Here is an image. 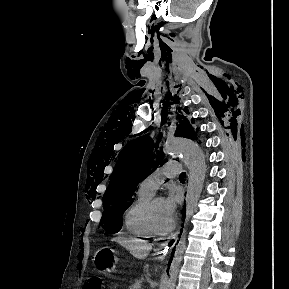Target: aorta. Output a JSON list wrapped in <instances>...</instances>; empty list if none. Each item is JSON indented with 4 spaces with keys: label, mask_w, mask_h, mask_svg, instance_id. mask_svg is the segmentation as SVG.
Listing matches in <instances>:
<instances>
[{
    "label": "aorta",
    "mask_w": 289,
    "mask_h": 289,
    "mask_svg": "<svg viewBox=\"0 0 289 289\" xmlns=\"http://www.w3.org/2000/svg\"><path fill=\"white\" fill-rule=\"evenodd\" d=\"M164 154L168 157H180L189 170L186 194V224L197 209L198 200L203 189L207 169L205 157L201 148L194 141L180 137H170L167 139ZM185 249L186 230L183 231L179 243L175 248L168 281L164 289H175Z\"/></svg>",
    "instance_id": "obj_1"
}]
</instances>
